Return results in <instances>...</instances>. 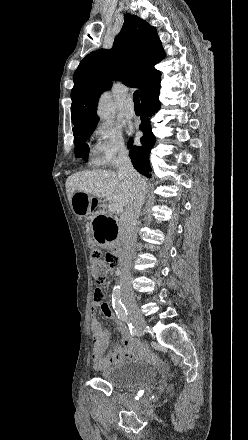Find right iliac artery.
<instances>
[{
  "label": "right iliac artery",
  "instance_id": "1",
  "mask_svg": "<svg viewBox=\"0 0 248 440\" xmlns=\"http://www.w3.org/2000/svg\"><path fill=\"white\" fill-rule=\"evenodd\" d=\"M112 304H113V308L115 309L116 314L118 315V318L121 319L122 321L128 322L129 318H128L127 309L121 301L120 287L113 288ZM130 330H131V326H130Z\"/></svg>",
  "mask_w": 248,
  "mask_h": 440
}]
</instances>
